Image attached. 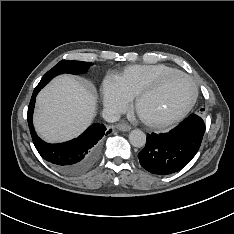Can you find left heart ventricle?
Listing matches in <instances>:
<instances>
[{
    "label": "left heart ventricle",
    "instance_id": "1",
    "mask_svg": "<svg viewBox=\"0 0 234 234\" xmlns=\"http://www.w3.org/2000/svg\"><path fill=\"white\" fill-rule=\"evenodd\" d=\"M192 94V84L183 77L175 76L144 100L141 111L147 117L172 115L189 103Z\"/></svg>",
    "mask_w": 234,
    "mask_h": 234
}]
</instances>
